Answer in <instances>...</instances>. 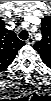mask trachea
<instances>
[{
	"instance_id": "1",
	"label": "trachea",
	"mask_w": 51,
	"mask_h": 101,
	"mask_svg": "<svg viewBox=\"0 0 51 101\" xmlns=\"http://www.w3.org/2000/svg\"><path fill=\"white\" fill-rule=\"evenodd\" d=\"M28 31L26 30H22L20 33H19V38L22 39V40H27L28 39Z\"/></svg>"
}]
</instances>
